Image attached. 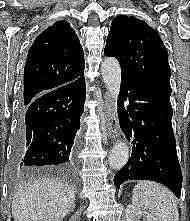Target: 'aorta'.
I'll list each match as a JSON object with an SVG mask.
<instances>
[{
	"mask_svg": "<svg viewBox=\"0 0 190 221\" xmlns=\"http://www.w3.org/2000/svg\"><path fill=\"white\" fill-rule=\"evenodd\" d=\"M101 74L110 96L117 100L121 85V68L117 59L108 57L101 64ZM129 148L126 142H118L109 155L112 169H121L128 161Z\"/></svg>",
	"mask_w": 190,
	"mask_h": 221,
	"instance_id": "1",
	"label": "aorta"
}]
</instances>
